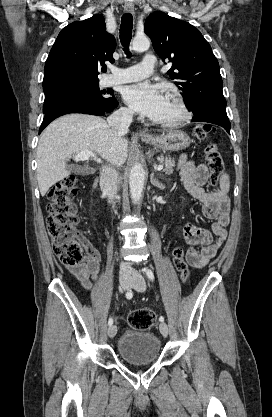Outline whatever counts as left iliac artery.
Returning <instances> with one entry per match:
<instances>
[{"label": "left iliac artery", "instance_id": "1", "mask_svg": "<svg viewBox=\"0 0 272 417\" xmlns=\"http://www.w3.org/2000/svg\"><path fill=\"white\" fill-rule=\"evenodd\" d=\"M145 272H146V275H147V277L151 280V281H153L154 280V274H153V272L150 270V269H145ZM159 320L161 321V322H163L164 321V317L163 316H160L159 317Z\"/></svg>", "mask_w": 272, "mask_h": 417}]
</instances>
